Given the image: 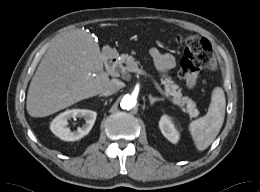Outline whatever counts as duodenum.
I'll use <instances>...</instances> for the list:
<instances>
[{
	"label": "duodenum",
	"mask_w": 260,
	"mask_h": 192,
	"mask_svg": "<svg viewBox=\"0 0 260 192\" xmlns=\"http://www.w3.org/2000/svg\"><path fill=\"white\" fill-rule=\"evenodd\" d=\"M117 64V57L115 55H108L105 58V66L108 71H112Z\"/></svg>",
	"instance_id": "obj_1"
}]
</instances>
